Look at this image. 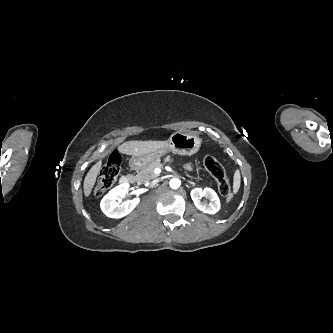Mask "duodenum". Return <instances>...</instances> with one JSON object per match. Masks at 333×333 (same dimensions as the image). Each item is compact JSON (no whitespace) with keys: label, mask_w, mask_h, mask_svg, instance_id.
I'll return each instance as SVG.
<instances>
[{"label":"duodenum","mask_w":333,"mask_h":333,"mask_svg":"<svg viewBox=\"0 0 333 333\" xmlns=\"http://www.w3.org/2000/svg\"><path fill=\"white\" fill-rule=\"evenodd\" d=\"M134 180V176L131 174L124 175L120 178V183L129 184Z\"/></svg>","instance_id":"obj_1"}]
</instances>
